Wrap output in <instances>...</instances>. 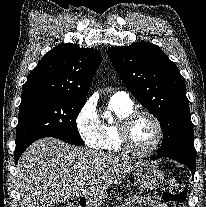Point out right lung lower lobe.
<instances>
[{
    "label": "right lung lower lobe",
    "mask_w": 206,
    "mask_h": 207,
    "mask_svg": "<svg viewBox=\"0 0 206 207\" xmlns=\"http://www.w3.org/2000/svg\"><path fill=\"white\" fill-rule=\"evenodd\" d=\"M25 149H26V148H24V149H19V150H15V152H14L15 164L17 163L19 157L21 156V154L23 153V151H24Z\"/></svg>",
    "instance_id": "obj_1"
}]
</instances>
